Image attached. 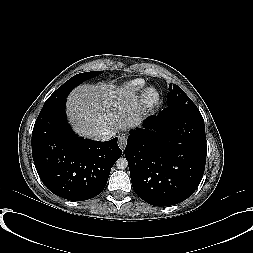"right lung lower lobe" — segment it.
<instances>
[{"label": "right lung lower lobe", "instance_id": "98d812e1", "mask_svg": "<svg viewBox=\"0 0 253 253\" xmlns=\"http://www.w3.org/2000/svg\"><path fill=\"white\" fill-rule=\"evenodd\" d=\"M66 99L43 107L32 132L38 175L55 195L83 201L100 194L122 151L117 138L99 142L78 137L66 122Z\"/></svg>", "mask_w": 253, "mask_h": 253}]
</instances>
